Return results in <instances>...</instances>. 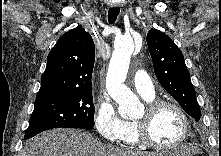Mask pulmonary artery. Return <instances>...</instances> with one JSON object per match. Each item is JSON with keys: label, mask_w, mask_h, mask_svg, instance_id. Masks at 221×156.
<instances>
[{"label": "pulmonary artery", "mask_w": 221, "mask_h": 156, "mask_svg": "<svg viewBox=\"0 0 221 156\" xmlns=\"http://www.w3.org/2000/svg\"><path fill=\"white\" fill-rule=\"evenodd\" d=\"M133 84L136 91L146 99L155 97V89L152 80L143 70H138L133 78Z\"/></svg>", "instance_id": "obj_1"}]
</instances>
